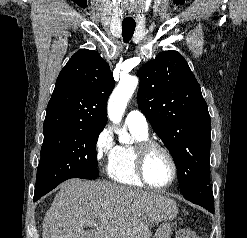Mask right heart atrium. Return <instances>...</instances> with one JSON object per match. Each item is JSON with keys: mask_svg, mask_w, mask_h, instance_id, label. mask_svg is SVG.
<instances>
[{"mask_svg": "<svg viewBox=\"0 0 247 238\" xmlns=\"http://www.w3.org/2000/svg\"><path fill=\"white\" fill-rule=\"evenodd\" d=\"M114 138L111 129L105 126L97 135L95 140V158L101 164L109 160L115 149Z\"/></svg>", "mask_w": 247, "mask_h": 238, "instance_id": "d8ad5b80", "label": "right heart atrium"}]
</instances>
